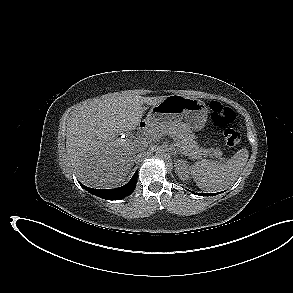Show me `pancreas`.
Here are the masks:
<instances>
[{
    "instance_id": "1",
    "label": "pancreas",
    "mask_w": 293,
    "mask_h": 293,
    "mask_svg": "<svg viewBox=\"0 0 293 293\" xmlns=\"http://www.w3.org/2000/svg\"><path fill=\"white\" fill-rule=\"evenodd\" d=\"M165 134L175 137L180 152L192 159H201L202 156L207 155H214L216 157L222 156V152L219 149L200 148L194 140L195 136L192 134L191 128L183 122L156 125L150 128L147 133L149 138L153 140L160 139Z\"/></svg>"
}]
</instances>
